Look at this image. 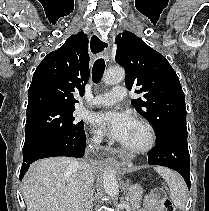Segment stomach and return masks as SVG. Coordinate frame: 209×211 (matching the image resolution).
Returning <instances> with one entry per match:
<instances>
[{"label": "stomach", "instance_id": "1", "mask_svg": "<svg viewBox=\"0 0 209 211\" xmlns=\"http://www.w3.org/2000/svg\"><path fill=\"white\" fill-rule=\"evenodd\" d=\"M128 164H129V159H124V160H123V163H122V165H121L123 171H124V169L126 168V166H127Z\"/></svg>", "mask_w": 209, "mask_h": 211}]
</instances>
